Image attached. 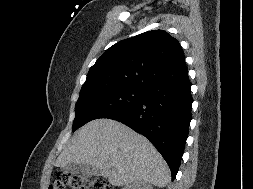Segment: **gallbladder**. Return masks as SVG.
Masks as SVG:
<instances>
[{"label":"gallbladder","mask_w":253,"mask_h":189,"mask_svg":"<svg viewBox=\"0 0 253 189\" xmlns=\"http://www.w3.org/2000/svg\"><path fill=\"white\" fill-rule=\"evenodd\" d=\"M62 171L70 174H81L83 176H99L100 171L89 164L70 163L61 167Z\"/></svg>","instance_id":"1"}]
</instances>
